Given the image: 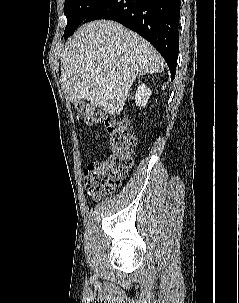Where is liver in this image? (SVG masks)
<instances>
[{"label":"liver","mask_w":239,"mask_h":303,"mask_svg":"<svg viewBox=\"0 0 239 303\" xmlns=\"http://www.w3.org/2000/svg\"><path fill=\"white\" fill-rule=\"evenodd\" d=\"M67 99L82 100L119 115L138 76L161 73L164 62L145 39L122 25L97 20L80 27L61 58Z\"/></svg>","instance_id":"obj_1"}]
</instances>
